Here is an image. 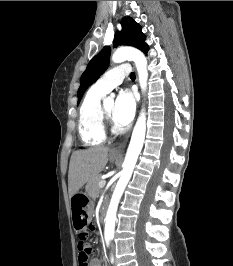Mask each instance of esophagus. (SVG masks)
Listing matches in <instances>:
<instances>
[{
	"label": "esophagus",
	"mask_w": 233,
	"mask_h": 266,
	"mask_svg": "<svg viewBox=\"0 0 233 266\" xmlns=\"http://www.w3.org/2000/svg\"><path fill=\"white\" fill-rule=\"evenodd\" d=\"M129 137H130V133H128L125 136L124 140L116 148L111 150V153L112 154H120V153H122L124 151L127 143H128Z\"/></svg>",
	"instance_id": "1"
}]
</instances>
